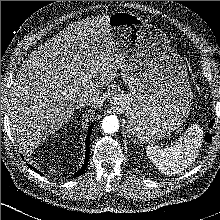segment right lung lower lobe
Segmentation results:
<instances>
[{
    "label": "right lung lower lobe",
    "instance_id": "right-lung-lower-lobe-1",
    "mask_svg": "<svg viewBox=\"0 0 220 220\" xmlns=\"http://www.w3.org/2000/svg\"><path fill=\"white\" fill-rule=\"evenodd\" d=\"M93 126H94V123H92L88 128V134L86 137V157H85L84 164H83L82 168L80 170H78V172L75 174V176L81 175L85 171V169L87 168L88 159H89V142H90V135H91V131H92ZM29 167L33 169V167L31 165H29ZM34 171L39 173V171L37 169H34ZM40 175H43V174L40 173Z\"/></svg>",
    "mask_w": 220,
    "mask_h": 220
}]
</instances>
